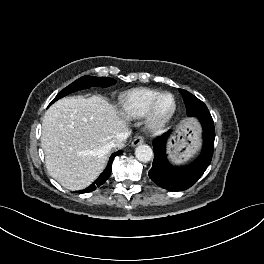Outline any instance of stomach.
Returning <instances> with one entry per match:
<instances>
[{"label":"stomach","instance_id":"0dacf381","mask_svg":"<svg viewBox=\"0 0 264 264\" xmlns=\"http://www.w3.org/2000/svg\"><path fill=\"white\" fill-rule=\"evenodd\" d=\"M200 141L198 123L190 119L183 120L168 141L167 152L172 163L187 162L198 151Z\"/></svg>","mask_w":264,"mask_h":264}]
</instances>
